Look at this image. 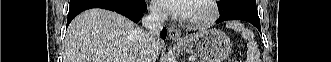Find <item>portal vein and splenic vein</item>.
I'll return each instance as SVG.
<instances>
[{
  "mask_svg": "<svg viewBox=\"0 0 331 62\" xmlns=\"http://www.w3.org/2000/svg\"><path fill=\"white\" fill-rule=\"evenodd\" d=\"M189 59H190V60H194L195 58H192V57H191V58H189Z\"/></svg>",
  "mask_w": 331,
  "mask_h": 62,
  "instance_id": "18ae733b",
  "label": "portal vein and splenic vein"
}]
</instances>
